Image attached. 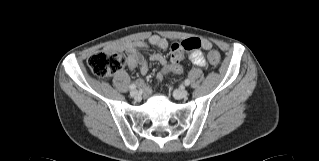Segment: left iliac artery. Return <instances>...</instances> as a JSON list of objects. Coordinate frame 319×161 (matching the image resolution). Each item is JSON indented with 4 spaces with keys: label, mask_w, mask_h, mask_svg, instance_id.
Here are the masks:
<instances>
[{
    "label": "left iliac artery",
    "mask_w": 319,
    "mask_h": 161,
    "mask_svg": "<svg viewBox=\"0 0 319 161\" xmlns=\"http://www.w3.org/2000/svg\"><path fill=\"white\" fill-rule=\"evenodd\" d=\"M184 84H185V86H188V85L190 84V80H189V79H186V80L184 81Z\"/></svg>",
    "instance_id": "44dca946"
}]
</instances>
